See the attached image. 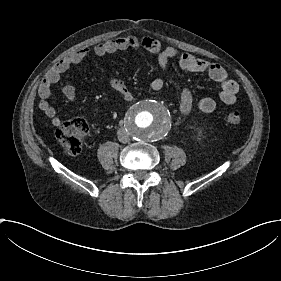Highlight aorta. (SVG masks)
Wrapping results in <instances>:
<instances>
[{"label": "aorta", "mask_w": 281, "mask_h": 281, "mask_svg": "<svg viewBox=\"0 0 281 281\" xmlns=\"http://www.w3.org/2000/svg\"><path fill=\"white\" fill-rule=\"evenodd\" d=\"M126 128L131 136L142 142L157 141L171 128V115L162 103L142 100L134 104L126 114Z\"/></svg>", "instance_id": "aorta-1"}]
</instances>
